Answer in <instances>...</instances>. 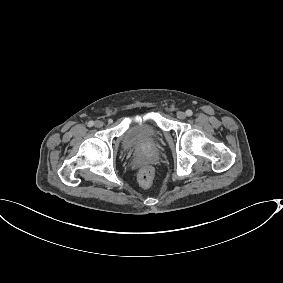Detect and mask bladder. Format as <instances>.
I'll return each mask as SVG.
<instances>
[{"instance_id": "obj_1", "label": "bladder", "mask_w": 283, "mask_h": 283, "mask_svg": "<svg viewBox=\"0 0 283 283\" xmlns=\"http://www.w3.org/2000/svg\"><path fill=\"white\" fill-rule=\"evenodd\" d=\"M162 139L163 134L155 123L136 118L129 121L122 138V146L124 148L150 146L159 143Z\"/></svg>"}]
</instances>
